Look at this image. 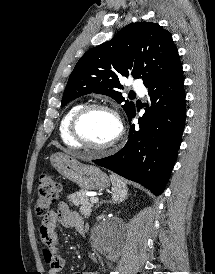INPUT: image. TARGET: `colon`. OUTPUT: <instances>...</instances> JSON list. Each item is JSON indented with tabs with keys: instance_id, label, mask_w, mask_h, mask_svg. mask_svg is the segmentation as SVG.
<instances>
[{
	"instance_id": "1",
	"label": "colon",
	"mask_w": 215,
	"mask_h": 274,
	"mask_svg": "<svg viewBox=\"0 0 215 274\" xmlns=\"http://www.w3.org/2000/svg\"><path fill=\"white\" fill-rule=\"evenodd\" d=\"M60 184L51 173L43 172L39 178L37 188L36 214L45 218L51 211V206L56 202L60 193Z\"/></svg>"
}]
</instances>
